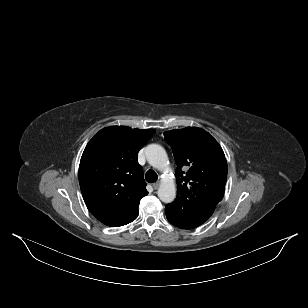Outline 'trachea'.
Segmentation results:
<instances>
[{
  "label": "trachea",
  "instance_id": "3493384b",
  "mask_svg": "<svg viewBox=\"0 0 308 308\" xmlns=\"http://www.w3.org/2000/svg\"><path fill=\"white\" fill-rule=\"evenodd\" d=\"M145 179H146V181L149 182V183H154V182L157 181L158 176H157V174H156L155 171H153V170H148V171L146 172V174H145Z\"/></svg>",
  "mask_w": 308,
  "mask_h": 308
}]
</instances>
